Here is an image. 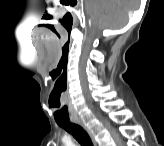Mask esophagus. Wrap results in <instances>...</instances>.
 <instances>
[{"mask_svg":"<svg viewBox=\"0 0 164 146\" xmlns=\"http://www.w3.org/2000/svg\"><path fill=\"white\" fill-rule=\"evenodd\" d=\"M72 121L80 126H82L83 128H85V124L83 122V120L81 118H74L72 119Z\"/></svg>","mask_w":164,"mask_h":146,"instance_id":"obj_1","label":"esophagus"}]
</instances>
